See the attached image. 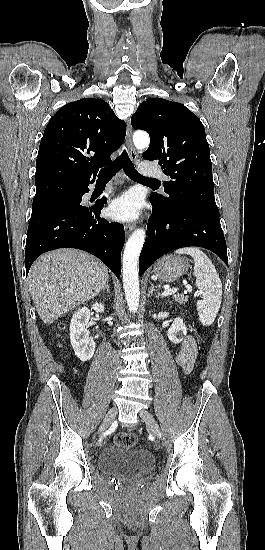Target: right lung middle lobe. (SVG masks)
<instances>
[{
	"mask_svg": "<svg viewBox=\"0 0 265 550\" xmlns=\"http://www.w3.org/2000/svg\"><path fill=\"white\" fill-rule=\"evenodd\" d=\"M76 188L64 185H46L36 188L32 210L58 202L73 200L77 197Z\"/></svg>",
	"mask_w": 265,
	"mask_h": 550,
	"instance_id": "dd1d6c3e",
	"label": "right lung middle lobe"
}]
</instances>
